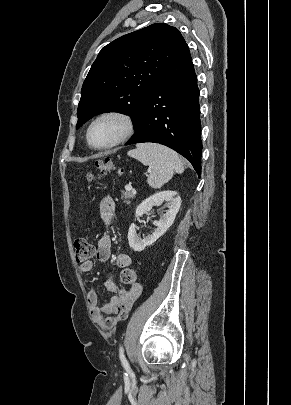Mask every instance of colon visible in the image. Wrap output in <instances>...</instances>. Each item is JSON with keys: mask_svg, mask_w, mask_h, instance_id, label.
<instances>
[{"mask_svg": "<svg viewBox=\"0 0 291 405\" xmlns=\"http://www.w3.org/2000/svg\"><path fill=\"white\" fill-rule=\"evenodd\" d=\"M96 166L101 174H105L114 168L113 163L110 160L99 161ZM87 179L88 181H94L96 180V175L90 173L87 175ZM74 249L76 261L81 264L87 262L94 253L93 246L84 238L75 240ZM137 278L138 273L131 268L123 269L119 275L120 282L123 284H134L137 281Z\"/></svg>", "mask_w": 291, "mask_h": 405, "instance_id": "1", "label": "colon"}]
</instances>
